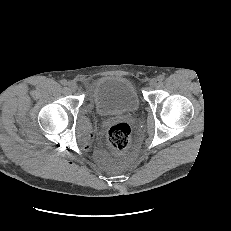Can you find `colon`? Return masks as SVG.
<instances>
[{
	"mask_svg": "<svg viewBox=\"0 0 231 231\" xmlns=\"http://www.w3.org/2000/svg\"><path fill=\"white\" fill-rule=\"evenodd\" d=\"M107 140L109 145L117 151L126 149L131 141L130 126L124 122L111 125L107 131Z\"/></svg>",
	"mask_w": 231,
	"mask_h": 231,
	"instance_id": "colon-1",
	"label": "colon"
}]
</instances>
